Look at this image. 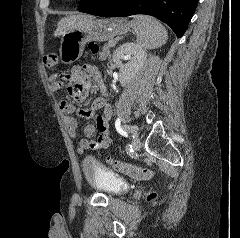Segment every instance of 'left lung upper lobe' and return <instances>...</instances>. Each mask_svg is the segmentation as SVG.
<instances>
[{
    "label": "left lung upper lobe",
    "instance_id": "5c2ea615",
    "mask_svg": "<svg viewBox=\"0 0 240 238\" xmlns=\"http://www.w3.org/2000/svg\"><path fill=\"white\" fill-rule=\"evenodd\" d=\"M99 0H82L79 5V10L83 11L95 5Z\"/></svg>",
    "mask_w": 240,
    "mask_h": 238
}]
</instances>
